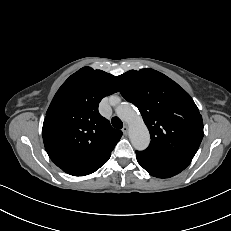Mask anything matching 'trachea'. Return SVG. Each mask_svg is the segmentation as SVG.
I'll return each mask as SVG.
<instances>
[{
	"mask_svg": "<svg viewBox=\"0 0 231 231\" xmlns=\"http://www.w3.org/2000/svg\"><path fill=\"white\" fill-rule=\"evenodd\" d=\"M111 123L117 129H121L123 127V122L118 117H113Z\"/></svg>",
	"mask_w": 231,
	"mask_h": 231,
	"instance_id": "3493384b",
	"label": "trachea"
}]
</instances>
